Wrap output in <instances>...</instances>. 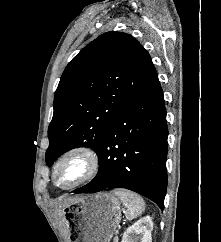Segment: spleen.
I'll return each mask as SVG.
<instances>
[{"label": "spleen", "mask_w": 221, "mask_h": 242, "mask_svg": "<svg viewBox=\"0 0 221 242\" xmlns=\"http://www.w3.org/2000/svg\"><path fill=\"white\" fill-rule=\"evenodd\" d=\"M114 194L117 195L126 206L127 219H135L144 211L145 202L140 195L124 189L114 190Z\"/></svg>", "instance_id": "spleen-1"}]
</instances>
